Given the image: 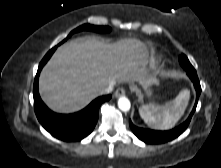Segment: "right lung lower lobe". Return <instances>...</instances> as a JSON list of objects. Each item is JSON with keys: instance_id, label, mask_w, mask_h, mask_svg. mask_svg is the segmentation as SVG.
<instances>
[{"instance_id": "obj_1", "label": "right lung lower lobe", "mask_w": 221, "mask_h": 168, "mask_svg": "<svg viewBox=\"0 0 221 168\" xmlns=\"http://www.w3.org/2000/svg\"><path fill=\"white\" fill-rule=\"evenodd\" d=\"M57 46L52 48L42 59L34 81L33 97L34 110L41 125L55 138L66 142L80 141L94 129L102 103L108 101L111 95L96 98L83 110L73 114H57L47 108L38 92L40 71L50 59Z\"/></svg>"}]
</instances>
